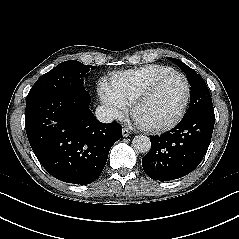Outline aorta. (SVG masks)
Here are the masks:
<instances>
[{
    "mask_svg": "<svg viewBox=\"0 0 239 239\" xmlns=\"http://www.w3.org/2000/svg\"><path fill=\"white\" fill-rule=\"evenodd\" d=\"M133 148L139 153H147L151 148L150 138L145 135H137L132 140Z\"/></svg>",
    "mask_w": 239,
    "mask_h": 239,
    "instance_id": "obj_1",
    "label": "aorta"
}]
</instances>
